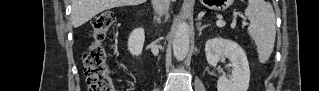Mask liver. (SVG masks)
I'll return each mask as SVG.
<instances>
[{
	"label": "liver",
	"instance_id": "obj_1",
	"mask_svg": "<svg viewBox=\"0 0 319 91\" xmlns=\"http://www.w3.org/2000/svg\"><path fill=\"white\" fill-rule=\"evenodd\" d=\"M145 1L146 0H72V24L77 28L105 10L121 6L139 5Z\"/></svg>",
	"mask_w": 319,
	"mask_h": 91
}]
</instances>
